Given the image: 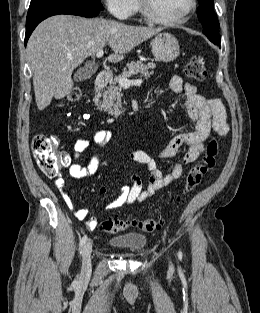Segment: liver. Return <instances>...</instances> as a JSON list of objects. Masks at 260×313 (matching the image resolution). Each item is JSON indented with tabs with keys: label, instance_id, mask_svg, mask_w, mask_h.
<instances>
[{
	"label": "liver",
	"instance_id": "obj_1",
	"mask_svg": "<svg viewBox=\"0 0 260 313\" xmlns=\"http://www.w3.org/2000/svg\"><path fill=\"white\" fill-rule=\"evenodd\" d=\"M161 31L162 28L131 26L103 18L57 15L44 20L27 44L38 109L44 110L53 97L62 99L69 94L74 85L73 70L107 43L113 51L108 61L117 63Z\"/></svg>",
	"mask_w": 260,
	"mask_h": 313
}]
</instances>
